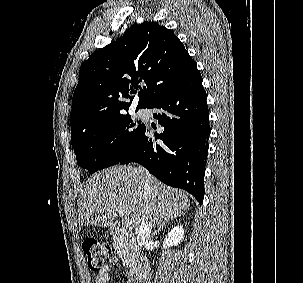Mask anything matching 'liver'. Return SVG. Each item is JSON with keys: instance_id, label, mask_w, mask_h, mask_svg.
Segmentation results:
<instances>
[{"instance_id": "6515ba94", "label": "liver", "mask_w": 303, "mask_h": 283, "mask_svg": "<svg viewBox=\"0 0 303 283\" xmlns=\"http://www.w3.org/2000/svg\"><path fill=\"white\" fill-rule=\"evenodd\" d=\"M145 179L151 194H145ZM190 206L186 192L166 186L142 167L113 166L92 175L78 198L79 227H111L115 212L138 231L142 218L154 227L180 216ZM94 216V217H93Z\"/></svg>"}]
</instances>
